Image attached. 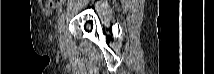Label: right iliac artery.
<instances>
[{
    "label": "right iliac artery",
    "mask_w": 214,
    "mask_h": 74,
    "mask_svg": "<svg viewBox=\"0 0 214 74\" xmlns=\"http://www.w3.org/2000/svg\"><path fill=\"white\" fill-rule=\"evenodd\" d=\"M65 14H61L58 18V27L60 28L62 22L64 21Z\"/></svg>",
    "instance_id": "1"
}]
</instances>
